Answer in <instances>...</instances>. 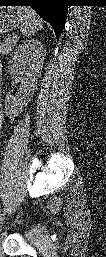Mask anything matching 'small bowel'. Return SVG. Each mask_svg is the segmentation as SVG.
<instances>
[{
	"instance_id": "c3829d8e",
	"label": "small bowel",
	"mask_w": 106,
	"mask_h": 257,
	"mask_svg": "<svg viewBox=\"0 0 106 257\" xmlns=\"http://www.w3.org/2000/svg\"><path fill=\"white\" fill-rule=\"evenodd\" d=\"M1 115H2V114H1ZM0 121H1V123H2V121H3L2 116H1V120H0Z\"/></svg>"
}]
</instances>
